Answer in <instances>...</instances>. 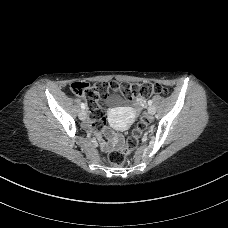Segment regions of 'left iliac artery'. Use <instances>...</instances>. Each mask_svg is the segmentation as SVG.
Instances as JSON below:
<instances>
[{
  "mask_svg": "<svg viewBox=\"0 0 228 228\" xmlns=\"http://www.w3.org/2000/svg\"><path fill=\"white\" fill-rule=\"evenodd\" d=\"M152 103H153L152 100L148 101V105H152Z\"/></svg>",
  "mask_w": 228,
  "mask_h": 228,
  "instance_id": "44dca946",
  "label": "left iliac artery"
}]
</instances>
